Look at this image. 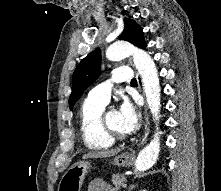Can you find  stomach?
<instances>
[{
	"label": "stomach",
	"mask_w": 221,
	"mask_h": 191,
	"mask_svg": "<svg viewBox=\"0 0 221 191\" xmlns=\"http://www.w3.org/2000/svg\"><path fill=\"white\" fill-rule=\"evenodd\" d=\"M132 161V155L126 152L116 156L113 164L119 167H128L132 164ZM90 168L91 164L88 161H80L73 164L62 176L58 191H80L83 180Z\"/></svg>",
	"instance_id": "obj_1"
}]
</instances>
